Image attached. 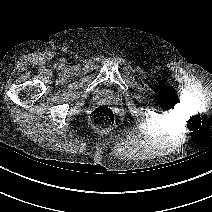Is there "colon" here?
Here are the masks:
<instances>
[{
  "mask_svg": "<svg viewBox=\"0 0 212 212\" xmlns=\"http://www.w3.org/2000/svg\"><path fill=\"white\" fill-rule=\"evenodd\" d=\"M116 121L113 109L106 105L96 107L90 114L91 125L100 131L111 128Z\"/></svg>",
  "mask_w": 212,
  "mask_h": 212,
  "instance_id": "obj_1",
  "label": "colon"
}]
</instances>
